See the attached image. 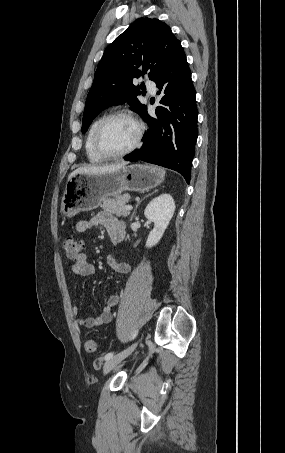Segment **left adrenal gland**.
<instances>
[{
	"label": "left adrenal gland",
	"instance_id": "a2214340",
	"mask_svg": "<svg viewBox=\"0 0 285 453\" xmlns=\"http://www.w3.org/2000/svg\"><path fill=\"white\" fill-rule=\"evenodd\" d=\"M155 192H156V191H155ZM152 194H153V193H151V194H148V195H147V196H145V197H144L143 199H145V198H146V197H148V196H151ZM140 202H141V201H140ZM140 202H138V203H137V205L135 206V209H134V211H133V213H132V215H131V217H130V220H132V219H133V217L135 216V213H136V209H137L138 205L140 204Z\"/></svg>",
	"mask_w": 285,
	"mask_h": 453
}]
</instances>
